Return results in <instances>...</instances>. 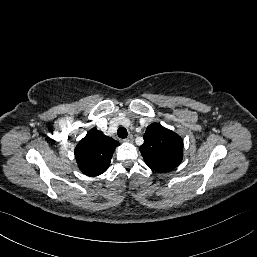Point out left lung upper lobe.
<instances>
[{"mask_svg": "<svg viewBox=\"0 0 257 257\" xmlns=\"http://www.w3.org/2000/svg\"><path fill=\"white\" fill-rule=\"evenodd\" d=\"M140 152L153 171L165 173L175 169L183 158V140L159 123L150 124L144 134Z\"/></svg>", "mask_w": 257, "mask_h": 257, "instance_id": "obj_1", "label": "left lung upper lobe"}]
</instances>
